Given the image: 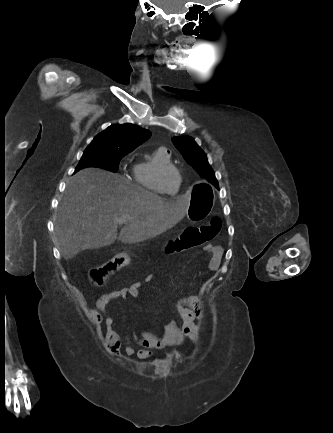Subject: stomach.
Here are the masks:
<instances>
[{
	"label": "stomach",
	"instance_id": "1",
	"mask_svg": "<svg viewBox=\"0 0 333 433\" xmlns=\"http://www.w3.org/2000/svg\"><path fill=\"white\" fill-rule=\"evenodd\" d=\"M214 207V187L208 182H198L191 192L189 218L197 224L210 215Z\"/></svg>",
	"mask_w": 333,
	"mask_h": 433
}]
</instances>
